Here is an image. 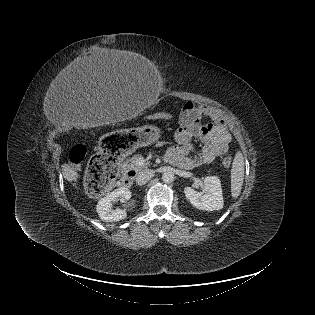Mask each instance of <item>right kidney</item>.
Listing matches in <instances>:
<instances>
[{
    "mask_svg": "<svg viewBox=\"0 0 315 315\" xmlns=\"http://www.w3.org/2000/svg\"><path fill=\"white\" fill-rule=\"evenodd\" d=\"M131 192L127 188H118L101 198L97 204L96 211L102 221L116 222L125 219L127 213L122 209H113L112 204L118 200H129Z\"/></svg>",
    "mask_w": 315,
    "mask_h": 315,
    "instance_id": "1",
    "label": "right kidney"
}]
</instances>
